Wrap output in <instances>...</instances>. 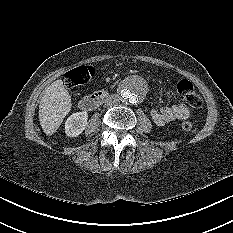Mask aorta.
Returning <instances> with one entry per match:
<instances>
[{
	"mask_svg": "<svg viewBox=\"0 0 233 233\" xmlns=\"http://www.w3.org/2000/svg\"><path fill=\"white\" fill-rule=\"evenodd\" d=\"M146 93L145 82L140 77L126 79L119 90V96L125 104H136L140 102Z\"/></svg>",
	"mask_w": 233,
	"mask_h": 233,
	"instance_id": "obj_1",
	"label": "aorta"
}]
</instances>
